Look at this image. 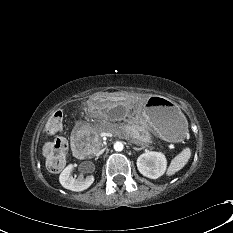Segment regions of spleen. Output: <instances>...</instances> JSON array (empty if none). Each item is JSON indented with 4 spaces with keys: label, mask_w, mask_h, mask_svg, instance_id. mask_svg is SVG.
<instances>
[{
    "label": "spleen",
    "mask_w": 233,
    "mask_h": 233,
    "mask_svg": "<svg viewBox=\"0 0 233 233\" xmlns=\"http://www.w3.org/2000/svg\"><path fill=\"white\" fill-rule=\"evenodd\" d=\"M191 157V150L190 148H185L179 153L177 156L172 159L168 170H167V175H173L179 170H181L189 161Z\"/></svg>",
    "instance_id": "obj_1"
}]
</instances>
